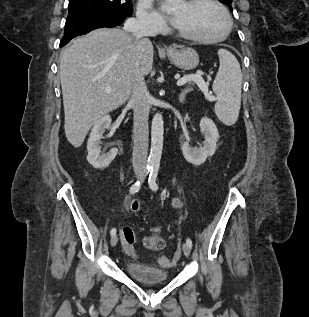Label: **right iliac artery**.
<instances>
[{
	"label": "right iliac artery",
	"instance_id": "82829eb1",
	"mask_svg": "<svg viewBox=\"0 0 309 317\" xmlns=\"http://www.w3.org/2000/svg\"><path fill=\"white\" fill-rule=\"evenodd\" d=\"M152 170V166L150 165H147L145 170H144V175H147L150 171ZM142 182H143V179L135 182L131 187H130V194H134L136 192H138L141 188V185H142ZM110 234L111 236L115 235L116 234V228H113L111 231H110Z\"/></svg>",
	"mask_w": 309,
	"mask_h": 317
}]
</instances>
